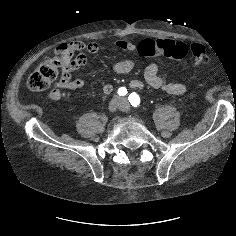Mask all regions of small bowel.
I'll return each mask as SVG.
<instances>
[{
  "mask_svg": "<svg viewBox=\"0 0 236 236\" xmlns=\"http://www.w3.org/2000/svg\"><path fill=\"white\" fill-rule=\"evenodd\" d=\"M151 42L156 41L152 39ZM145 41V40H143ZM142 41V42H143ZM135 44L126 40H118L116 46L124 51H138L141 43ZM69 50L73 53H77L74 58H71L68 66L63 71L56 86L49 92L48 96L51 100H60L67 98L70 95V91L80 90L85 88L86 83L82 79H72V74L83 67L88 61V56L86 52L90 55L91 59H97L100 56V49L97 43H84L82 41H72L68 45ZM134 66V62L130 58H124L115 62L111 66V71L115 74H125L128 73ZM161 66L157 63L149 64L144 71V81L139 79H134L130 81L129 87L132 89L141 90L145 85L150 86L153 89L160 90L173 95H183L186 93L187 88L184 84L178 82H166L164 81L159 72ZM113 91V86L111 84H104L102 87V92L106 95Z\"/></svg>",
  "mask_w": 236,
  "mask_h": 236,
  "instance_id": "small-bowel-1",
  "label": "small bowel"
}]
</instances>
